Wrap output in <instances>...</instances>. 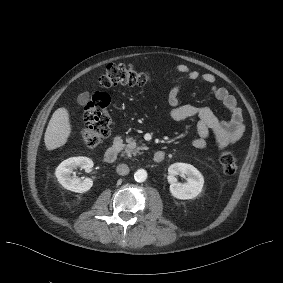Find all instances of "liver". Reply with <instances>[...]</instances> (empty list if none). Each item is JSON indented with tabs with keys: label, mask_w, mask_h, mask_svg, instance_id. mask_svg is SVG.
I'll list each match as a JSON object with an SVG mask.
<instances>
[{
	"label": "liver",
	"mask_w": 283,
	"mask_h": 283,
	"mask_svg": "<svg viewBox=\"0 0 283 283\" xmlns=\"http://www.w3.org/2000/svg\"><path fill=\"white\" fill-rule=\"evenodd\" d=\"M73 133L70 110L60 107L54 111L44 135L47 151L64 147Z\"/></svg>",
	"instance_id": "liver-1"
}]
</instances>
